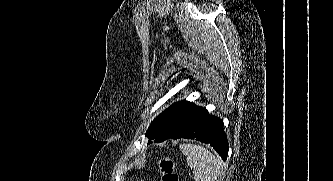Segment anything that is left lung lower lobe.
<instances>
[{
    "label": "left lung lower lobe",
    "instance_id": "obj_1",
    "mask_svg": "<svg viewBox=\"0 0 333 181\" xmlns=\"http://www.w3.org/2000/svg\"><path fill=\"white\" fill-rule=\"evenodd\" d=\"M186 138L195 139L206 144H210L226 161L228 155V141L223 129V121L213 115L208 114L206 109H202L195 118L172 139ZM155 143L163 142L160 137L153 139ZM152 142H149L150 144Z\"/></svg>",
    "mask_w": 333,
    "mask_h": 181
}]
</instances>
